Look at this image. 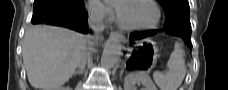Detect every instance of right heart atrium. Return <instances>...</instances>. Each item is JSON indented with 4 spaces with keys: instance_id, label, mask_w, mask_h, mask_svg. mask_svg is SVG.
<instances>
[{
    "instance_id": "obj_1",
    "label": "right heart atrium",
    "mask_w": 228,
    "mask_h": 90,
    "mask_svg": "<svg viewBox=\"0 0 228 90\" xmlns=\"http://www.w3.org/2000/svg\"><path fill=\"white\" fill-rule=\"evenodd\" d=\"M88 8L90 13L99 19L111 20L113 18V9L111 4L99 0H89Z\"/></svg>"
}]
</instances>
